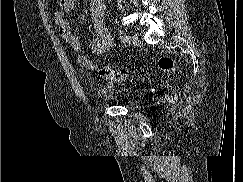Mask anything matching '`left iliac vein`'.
Here are the masks:
<instances>
[{
    "label": "left iliac vein",
    "instance_id": "obj_1",
    "mask_svg": "<svg viewBox=\"0 0 243 182\" xmlns=\"http://www.w3.org/2000/svg\"><path fill=\"white\" fill-rule=\"evenodd\" d=\"M128 42L131 44H137L138 43V37L136 35H129L128 36Z\"/></svg>",
    "mask_w": 243,
    "mask_h": 182
}]
</instances>
